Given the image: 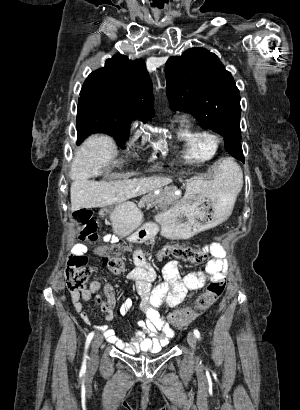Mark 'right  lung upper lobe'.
Here are the masks:
<instances>
[{"instance_id":"cb5924a9","label":"right lung upper lobe","mask_w":300,"mask_h":410,"mask_svg":"<svg viewBox=\"0 0 300 410\" xmlns=\"http://www.w3.org/2000/svg\"><path fill=\"white\" fill-rule=\"evenodd\" d=\"M82 91L100 95L107 114L121 120L145 123L154 116L152 83L142 59L115 55L88 76Z\"/></svg>"}]
</instances>
